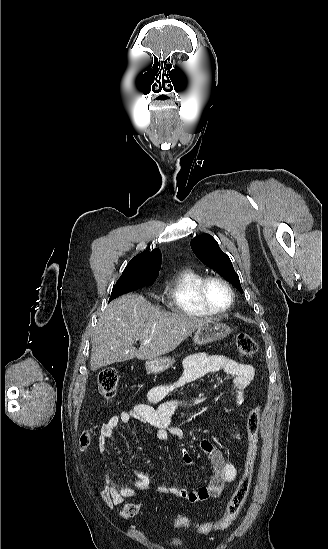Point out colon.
<instances>
[{"label": "colon", "mask_w": 328, "mask_h": 549, "mask_svg": "<svg viewBox=\"0 0 328 549\" xmlns=\"http://www.w3.org/2000/svg\"><path fill=\"white\" fill-rule=\"evenodd\" d=\"M236 349L240 356L251 357L257 352L256 342L246 334H239L236 338ZM119 375L116 370L108 368L102 370L98 376V388L100 394L106 398H113L118 390ZM261 417V407H254L246 420L247 431V453L244 464L243 474L236 486L235 491L228 500L223 515L211 522L193 524L185 516L177 515L174 519V526L177 528H194L200 534H207L214 530H222L231 525L241 512L248 497L254 474L255 462L258 455L259 445V424ZM92 439V433L85 431L80 437V446L86 449ZM142 503L135 501L125 503L121 509L120 515L123 519L135 517L141 510Z\"/></svg>", "instance_id": "obj_1"}]
</instances>
